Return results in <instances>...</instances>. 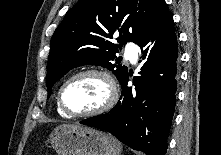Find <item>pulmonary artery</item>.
Returning a JSON list of instances; mask_svg holds the SVG:
<instances>
[{
    "mask_svg": "<svg viewBox=\"0 0 221 155\" xmlns=\"http://www.w3.org/2000/svg\"><path fill=\"white\" fill-rule=\"evenodd\" d=\"M125 56L132 63H135L138 56V48L134 44H128L125 49Z\"/></svg>",
    "mask_w": 221,
    "mask_h": 155,
    "instance_id": "e3ab8cb5",
    "label": "pulmonary artery"
}]
</instances>
